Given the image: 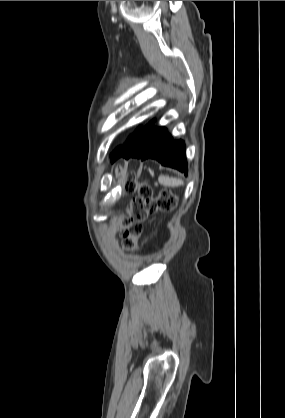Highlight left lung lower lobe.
Masks as SVG:
<instances>
[{
	"mask_svg": "<svg viewBox=\"0 0 285 418\" xmlns=\"http://www.w3.org/2000/svg\"><path fill=\"white\" fill-rule=\"evenodd\" d=\"M151 126L152 121L140 130L128 148L117 158H140L141 160L153 158L164 166L176 168L186 174L188 169L184 142L174 141L163 127L152 128Z\"/></svg>",
	"mask_w": 285,
	"mask_h": 418,
	"instance_id": "0a47b994",
	"label": "left lung lower lobe"
}]
</instances>
